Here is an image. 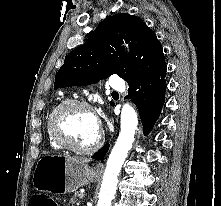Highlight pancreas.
<instances>
[{
	"mask_svg": "<svg viewBox=\"0 0 221 206\" xmlns=\"http://www.w3.org/2000/svg\"><path fill=\"white\" fill-rule=\"evenodd\" d=\"M80 195H82L80 192L76 191L74 193V195L72 196L71 200H70V203L72 204V206H74L75 204H77V206L80 204L79 203V198H80Z\"/></svg>",
	"mask_w": 221,
	"mask_h": 206,
	"instance_id": "obj_1",
	"label": "pancreas"
}]
</instances>
